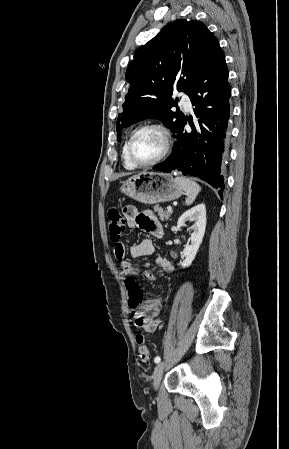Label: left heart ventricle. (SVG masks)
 Listing matches in <instances>:
<instances>
[{
  "label": "left heart ventricle",
  "instance_id": "left-heart-ventricle-1",
  "mask_svg": "<svg viewBox=\"0 0 289 449\" xmlns=\"http://www.w3.org/2000/svg\"><path fill=\"white\" fill-rule=\"evenodd\" d=\"M162 150V138L154 130L139 133L133 142V156L142 163L155 159Z\"/></svg>",
  "mask_w": 289,
  "mask_h": 449
}]
</instances>
